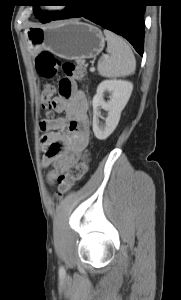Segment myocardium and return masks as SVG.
Segmentation results:
<instances>
[{"label": "myocardium", "instance_id": "myocardium-1", "mask_svg": "<svg viewBox=\"0 0 181 300\" xmlns=\"http://www.w3.org/2000/svg\"><path fill=\"white\" fill-rule=\"evenodd\" d=\"M45 9L50 12H59V11L63 10V7L60 5H53V6H47V7H45Z\"/></svg>", "mask_w": 181, "mask_h": 300}]
</instances>
